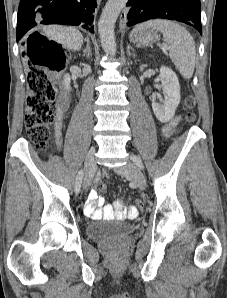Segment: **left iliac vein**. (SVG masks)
I'll list each match as a JSON object with an SVG mask.
<instances>
[{"instance_id":"left-iliac-vein-1","label":"left iliac vein","mask_w":227,"mask_h":298,"mask_svg":"<svg viewBox=\"0 0 227 298\" xmlns=\"http://www.w3.org/2000/svg\"><path fill=\"white\" fill-rule=\"evenodd\" d=\"M115 171L125 177H130L140 189H145L146 179L144 174L135 163L128 162L123 166L115 168Z\"/></svg>"}]
</instances>
